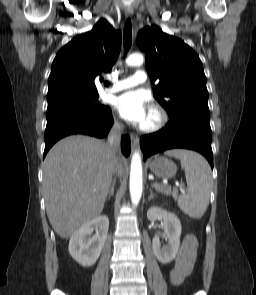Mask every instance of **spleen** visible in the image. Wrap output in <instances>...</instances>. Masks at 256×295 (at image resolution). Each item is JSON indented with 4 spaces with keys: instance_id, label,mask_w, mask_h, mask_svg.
Segmentation results:
<instances>
[{
    "instance_id": "3e777b00",
    "label": "spleen",
    "mask_w": 256,
    "mask_h": 295,
    "mask_svg": "<svg viewBox=\"0 0 256 295\" xmlns=\"http://www.w3.org/2000/svg\"><path fill=\"white\" fill-rule=\"evenodd\" d=\"M165 154L178 158L185 171L187 194L179 198V208L193 218H201L209 204L212 184L208 162L200 154L189 150H171Z\"/></svg>"
}]
</instances>
